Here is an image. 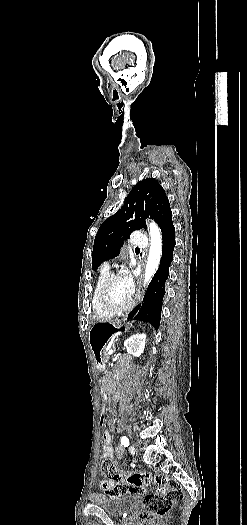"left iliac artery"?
I'll return each mask as SVG.
<instances>
[{"mask_svg": "<svg viewBox=\"0 0 247 525\" xmlns=\"http://www.w3.org/2000/svg\"><path fill=\"white\" fill-rule=\"evenodd\" d=\"M121 444L124 447H128L129 446V440H128V438L126 436L121 437Z\"/></svg>", "mask_w": 247, "mask_h": 525, "instance_id": "1", "label": "left iliac artery"}]
</instances>
